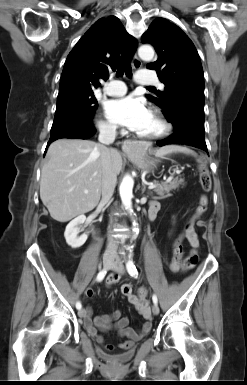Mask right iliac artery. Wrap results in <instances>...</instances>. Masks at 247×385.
I'll list each match as a JSON object with an SVG mask.
<instances>
[{"instance_id": "right-iliac-artery-1", "label": "right iliac artery", "mask_w": 247, "mask_h": 385, "mask_svg": "<svg viewBox=\"0 0 247 385\" xmlns=\"http://www.w3.org/2000/svg\"><path fill=\"white\" fill-rule=\"evenodd\" d=\"M106 273H107L106 270L100 271V272L98 273V275H97L96 280H97L98 282L102 281V280L104 279ZM81 307H82V305H81L80 301H78V302L76 303V308H77V309H81Z\"/></svg>"}]
</instances>
